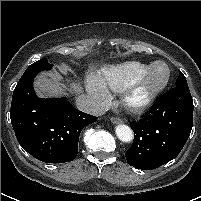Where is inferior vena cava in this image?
Instances as JSON below:
<instances>
[{
	"mask_svg": "<svg viewBox=\"0 0 201 201\" xmlns=\"http://www.w3.org/2000/svg\"><path fill=\"white\" fill-rule=\"evenodd\" d=\"M76 106L79 110L94 116H101L105 113V109L99 102L84 94L76 98Z\"/></svg>",
	"mask_w": 201,
	"mask_h": 201,
	"instance_id": "obj_1",
	"label": "inferior vena cava"
}]
</instances>
